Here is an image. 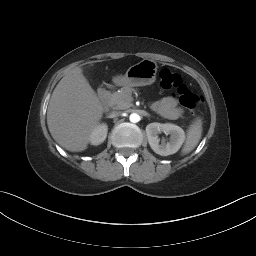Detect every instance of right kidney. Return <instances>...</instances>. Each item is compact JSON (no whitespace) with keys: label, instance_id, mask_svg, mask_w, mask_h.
<instances>
[{"label":"right kidney","instance_id":"obj_1","mask_svg":"<svg viewBox=\"0 0 256 256\" xmlns=\"http://www.w3.org/2000/svg\"><path fill=\"white\" fill-rule=\"evenodd\" d=\"M107 132H108V126L104 123L99 124L93 129L90 135V143L92 145H99L103 143L107 137Z\"/></svg>","mask_w":256,"mask_h":256}]
</instances>
